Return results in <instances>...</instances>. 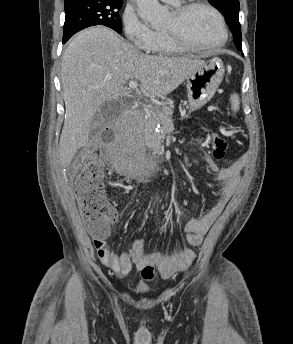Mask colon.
I'll return each mask as SVG.
<instances>
[{"instance_id": "5ec220e1", "label": "colon", "mask_w": 293, "mask_h": 344, "mask_svg": "<svg viewBox=\"0 0 293 344\" xmlns=\"http://www.w3.org/2000/svg\"><path fill=\"white\" fill-rule=\"evenodd\" d=\"M112 138V132L104 135L105 140ZM213 155L216 159L223 158L227 149L226 142L216 133H211ZM103 165L96 161H89L79 173L75 182L80 212L85 220L88 233L94 239H102L108 235L111 226L117 221L118 213L106 200L103 194ZM141 276L145 281L154 278V268L146 266L141 270Z\"/></svg>"}]
</instances>
